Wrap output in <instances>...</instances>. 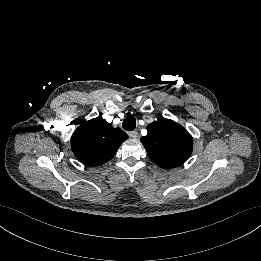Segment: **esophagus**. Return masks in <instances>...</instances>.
<instances>
[{
    "instance_id": "obj_1",
    "label": "esophagus",
    "mask_w": 261,
    "mask_h": 261,
    "mask_svg": "<svg viewBox=\"0 0 261 261\" xmlns=\"http://www.w3.org/2000/svg\"><path fill=\"white\" fill-rule=\"evenodd\" d=\"M130 137L136 139L139 137V133L137 131H131L128 133Z\"/></svg>"
}]
</instances>
